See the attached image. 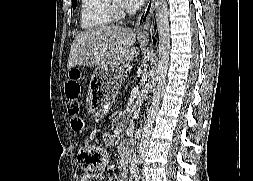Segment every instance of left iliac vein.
Returning <instances> with one entry per match:
<instances>
[{"mask_svg":"<svg viewBox=\"0 0 253 181\" xmlns=\"http://www.w3.org/2000/svg\"><path fill=\"white\" fill-rule=\"evenodd\" d=\"M142 181H144V176H142Z\"/></svg>","mask_w":253,"mask_h":181,"instance_id":"left-iliac-vein-1","label":"left iliac vein"}]
</instances>
